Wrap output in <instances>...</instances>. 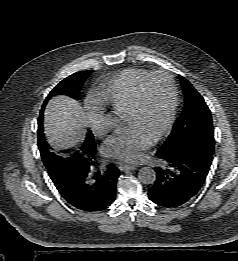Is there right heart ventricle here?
Returning a JSON list of instances; mask_svg holds the SVG:
<instances>
[{
	"label": "right heart ventricle",
	"instance_id": "1",
	"mask_svg": "<svg viewBox=\"0 0 238 261\" xmlns=\"http://www.w3.org/2000/svg\"><path fill=\"white\" fill-rule=\"evenodd\" d=\"M150 73L141 68L122 71L100 91L97 103L119 113L127 112L134 100L138 85Z\"/></svg>",
	"mask_w": 238,
	"mask_h": 261
}]
</instances>
